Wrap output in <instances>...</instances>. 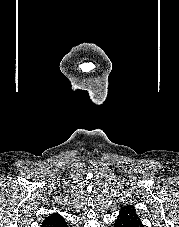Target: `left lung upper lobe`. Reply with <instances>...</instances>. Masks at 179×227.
I'll use <instances>...</instances> for the list:
<instances>
[{
	"mask_svg": "<svg viewBox=\"0 0 179 227\" xmlns=\"http://www.w3.org/2000/svg\"><path fill=\"white\" fill-rule=\"evenodd\" d=\"M116 227H139L143 226L135 209L127 205L122 207L115 222Z\"/></svg>",
	"mask_w": 179,
	"mask_h": 227,
	"instance_id": "left-lung-upper-lobe-1",
	"label": "left lung upper lobe"
}]
</instances>
